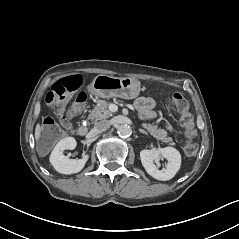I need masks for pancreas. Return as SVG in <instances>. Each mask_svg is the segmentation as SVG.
Returning a JSON list of instances; mask_svg holds the SVG:
<instances>
[{
    "label": "pancreas",
    "mask_w": 239,
    "mask_h": 239,
    "mask_svg": "<svg viewBox=\"0 0 239 239\" xmlns=\"http://www.w3.org/2000/svg\"><path fill=\"white\" fill-rule=\"evenodd\" d=\"M109 104L110 102H107L105 100H98L97 105L92 111H90L88 119L91 120L92 123H96L98 120H102L112 116V112L108 110ZM142 126L157 140H161L164 143L174 145L173 139L171 137H167V131L158 128L156 124L143 123Z\"/></svg>",
    "instance_id": "obj_1"
}]
</instances>
